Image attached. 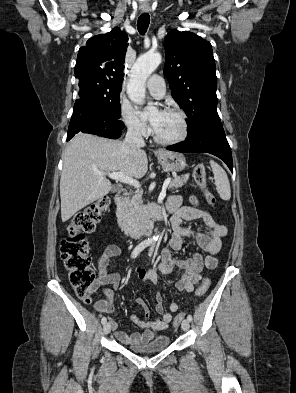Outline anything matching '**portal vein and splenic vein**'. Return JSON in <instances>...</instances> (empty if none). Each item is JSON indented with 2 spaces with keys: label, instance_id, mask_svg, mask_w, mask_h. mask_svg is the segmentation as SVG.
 <instances>
[{
  "label": "portal vein and splenic vein",
  "instance_id": "obj_1",
  "mask_svg": "<svg viewBox=\"0 0 296 393\" xmlns=\"http://www.w3.org/2000/svg\"><path fill=\"white\" fill-rule=\"evenodd\" d=\"M95 174L99 175V176L106 175V174L101 173V172H96ZM107 175L111 179H114V180H117V181H120V182H123V183H126V184H130V185H132V186H134L135 188H138V189L141 186L137 180H135V179H133V178H131L129 176H126V175H124L123 173H120V172H111V173H108ZM170 182H171L170 178H168V179H166L164 181L162 192L159 195V200H163L165 198V196H166V188L168 187Z\"/></svg>",
  "mask_w": 296,
  "mask_h": 393
}]
</instances>
